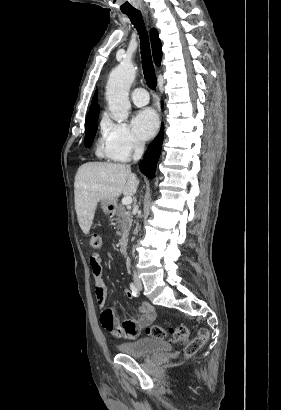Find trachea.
<instances>
[{
	"mask_svg": "<svg viewBox=\"0 0 281 410\" xmlns=\"http://www.w3.org/2000/svg\"><path fill=\"white\" fill-rule=\"evenodd\" d=\"M125 14L130 18L132 24L135 26V28L138 31V34L140 35L141 58L144 78L146 80L148 87L152 90H155L157 86V78L152 62L148 34L145 29L141 12H127Z\"/></svg>",
	"mask_w": 281,
	"mask_h": 410,
	"instance_id": "trachea-1",
	"label": "trachea"
}]
</instances>
